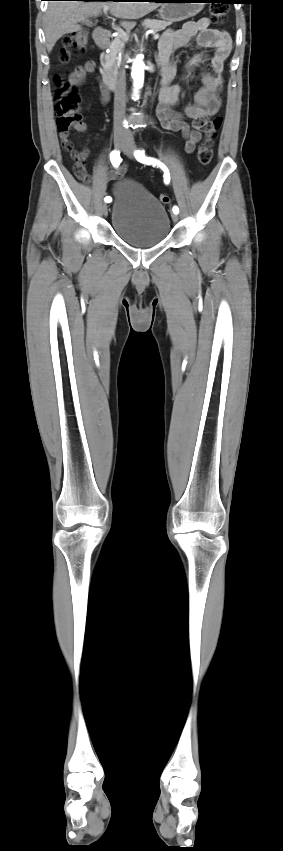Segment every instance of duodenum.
Returning <instances> with one entry per match:
<instances>
[{
    "mask_svg": "<svg viewBox=\"0 0 283 851\" xmlns=\"http://www.w3.org/2000/svg\"><path fill=\"white\" fill-rule=\"evenodd\" d=\"M110 40H111V33L106 29H99L95 33V42H96L97 46H99L100 48L107 47L110 43ZM104 75H105V77L103 79L105 80V83L108 84L109 90H112L114 88V84H115L114 79L112 78L111 75H109L108 71H105Z\"/></svg>",
    "mask_w": 283,
    "mask_h": 851,
    "instance_id": "duodenum-1",
    "label": "duodenum"
}]
</instances>
